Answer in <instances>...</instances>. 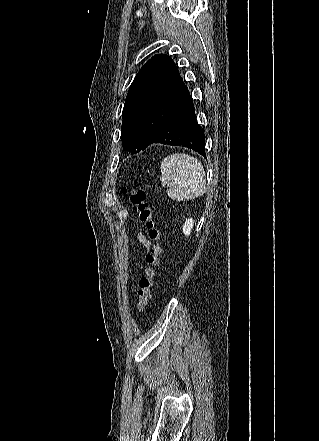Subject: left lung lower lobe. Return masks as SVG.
Instances as JSON below:
<instances>
[{
    "mask_svg": "<svg viewBox=\"0 0 319 441\" xmlns=\"http://www.w3.org/2000/svg\"><path fill=\"white\" fill-rule=\"evenodd\" d=\"M204 136L197 123L192 96L188 92L178 108L156 130L150 144L183 146L206 157Z\"/></svg>",
    "mask_w": 319,
    "mask_h": 441,
    "instance_id": "1",
    "label": "left lung lower lobe"
}]
</instances>
